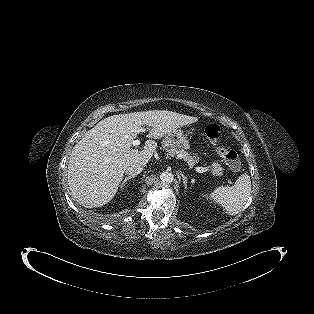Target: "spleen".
<instances>
[{
  "label": "spleen",
  "mask_w": 314,
  "mask_h": 314,
  "mask_svg": "<svg viewBox=\"0 0 314 314\" xmlns=\"http://www.w3.org/2000/svg\"><path fill=\"white\" fill-rule=\"evenodd\" d=\"M251 194V180L246 173L240 175L233 186L217 187L209 197L223 207L228 215L238 214L246 204Z\"/></svg>",
  "instance_id": "spleen-1"
}]
</instances>
